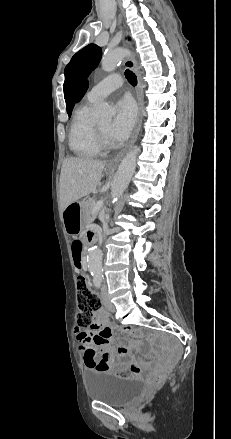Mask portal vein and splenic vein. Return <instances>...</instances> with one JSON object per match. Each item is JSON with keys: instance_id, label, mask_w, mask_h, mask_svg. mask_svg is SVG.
<instances>
[{"instance_id": "18ae733b", "label": "portal vein and splenic vein", "mask_w": 231, "mask_h": 439, "mask_svg": "<svg viewBox=\"0 0 231 439\" xmlns=\"http://www.w3.org/2000/svg\"><path fill=\"white\" fill-rule=\"evenodd\" d=\"M102 206V201H98L95 205V207L93 208L92 212L96 213Z\"/></svg>"}]
</instances>
